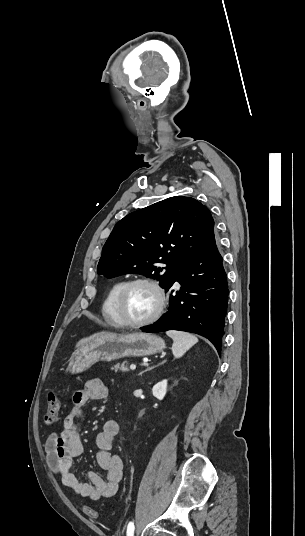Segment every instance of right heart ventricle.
<instances>
[{"label": "right heart ventricle", "instance_id": "obj_1", "mask_svg": "<svg viewBox=\"0 0 305 536\" xmlns=\"http://www.w3.org/2000/svg\"><path fill=\"white\" fill-rule=\"evenodd\" d=\"M124 283L125 280L123 279L114 282L109 288L102 304V317L107 324L113 327L121 326V320L117 315L115 303L118 292Z\"/></svg>", "mask_w": 305, "mask_h": 536}]
</instances>
